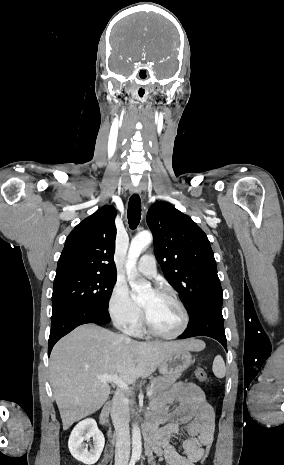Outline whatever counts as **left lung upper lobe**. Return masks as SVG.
<instances>
[{
	"mask_svg": "<svg viewBox=\"0 0 284 465\" xmlns=\"http://www.w3.org/2000/svg\"><path fill=\"white\" fill-rule=\"evenodd\" d=\"M147 223L154 235L155 256L189 315L204 306H222L216 261L203 230L188 215L165 202L150 207Z\"/></svg>",
	"mask_w": 284,
	"mask_h": 465,
	"instance_id": "1",
	"label": "left lung upper lobe"
}]
</instances>
